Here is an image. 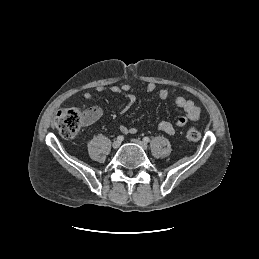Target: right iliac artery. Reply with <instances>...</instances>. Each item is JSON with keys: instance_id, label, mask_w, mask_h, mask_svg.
Listing matches in <instances>:
<instances>
[{"instance_id": "right-iliac-artery-1", "label": "right iliac artery", "mask_w": 259, "mask_h": 259, "mask_svg": "<svg viewBox=\"0 0 259 259\" xmlns=\"http://www.w3.org/2000/svg\"><path fill=\"white\" fill-rule=\"evenodd\" d=\"M117 140L120 141V142H122V141L124 140V136L119 135V136L117 137Z\"/></svg>"}]
</instances>
